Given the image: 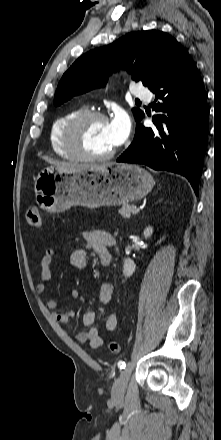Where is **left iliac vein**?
Returning a JSON list of instances; mask_svg holds the SVG:
<instances>
[{
    "label": "left iliac vein",
    "instance_id": "left-iliac-vein-1",
    "mask_svg": "<svg viewBox=\"0 0 221 440\" xmlns=\"http://www.w3.org/2000/svg\"><path fill=\"white\" fill-rule=\"evenodd\" d=\"M131 375L130 365L126 366L120 373V376L113 384L111 394L114 400H120L123 398L127 388L128 381Z\"/></svg>",
    "mask_w": 221,
    "mask_h": 440
}]
</instances>
